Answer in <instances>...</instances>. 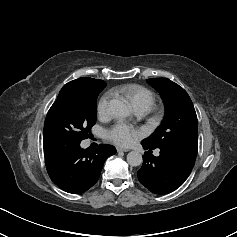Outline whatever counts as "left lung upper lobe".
<instances>
[{"mask_svg":"<svg viewBox=\"0 0 237 237\" xmlns=\"http://www.w3.org/2000/svg\"><path fill=\"white\" fill-rule=\"evenodd\" d=\"M148 82L160 92L166 112L162 124L142 142L152 149H197V116L187 92L166 78H150Z\"/></svg>","mask_w":237,"mask_h":237,"instance_id":"5c2ea615","label":"left lung upper lobe"}]
</instances>
